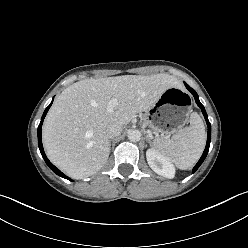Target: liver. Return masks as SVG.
<instances>
[{"label":"liver","mask_w":248,"mask_h":248,"mask_svg":"<svg viewBox=\"0 0 248 248\" xmlns=\"http://www.w3.org/2000/svg\"><path fill=\"white\" fill-rule=\"evenodd\" d=\"M179 86L175 77L163 73L88 78L70 85L54 101L43 124L48 158L74 179L95 174L109 157L108 126L127 125L164 91ZM112 98L118 104L110 113L107 105Z\"/></svg>","instance_id":"obj_1"}]
</instances>
